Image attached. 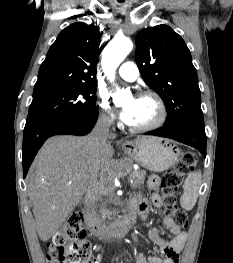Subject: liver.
<instances>
[{
    "label": "liver",
    "instance_id": "obj_1",
    "mask_svg": "<svg viewBox=\"0 0 233 263\" xmlns=\"http://www.w3.org/2000/svg\"><path fill=\"white\" fill-rule=\"evenodd\" d=\"M113 154L107 143L98 155L91 136H54L44 143L31 166L27 187L42 241L57 232L98 175H106Z\"/></svg>",
    "mask_w": 233,
    "mask_h": 263
}]
</instances>
